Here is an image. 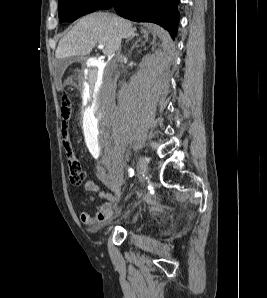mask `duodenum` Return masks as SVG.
Returning a JSON list of instances; mask_svg holds the SVG:
<instances>
[{"label":"duodenum","mask_w":267,"mask_h":298,"mask_svg":"<svg viewBox=\"0 0 267 298\" xmlns=\"http://www.w3.org/2000/svg\"><path fill=\"white\" fill-rule=\"evenodd\" d=\"M85 80H89L88 84H83V89H94V87H101V82L94 80V75H85Z\"/></svg>","instance_id":"410a0bca"}]
</instances>
